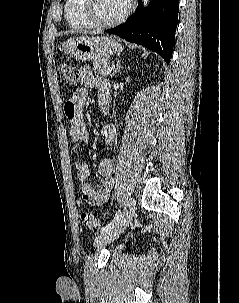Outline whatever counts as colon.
<instances>
[{"instance_id": "1", "label": "colon", "mask_w": 239, "mask_h": 303, "mask_svg": "<svg viewBox=\"0 0 239 303\" xmlns=\"http://www.w3.org/2000/svg\"><path fill=\"white\" fill-rule=\"evenodd\" d=\"M60 80L64 87H73L79 80V73L77 69L70 63H62L59 67ZM80 219L82 224L93 231H97L100 227L99 221L95 215L85 211L80 212Z\"/></svg>"}]
</instances>
